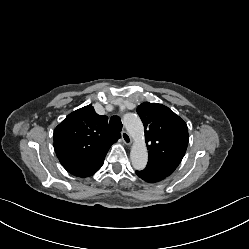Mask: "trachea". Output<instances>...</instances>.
<instances>
[{
  "label": "trachea",
  "mask_w": 249,
  "mask_h": 249,
  "mask_svg": "<svg viewBox=\"0 0 249 249\" xmlns=\"http://www.w3.org/2000/svg\"><path fill=\"white\" fill-rule=\"evenodd\" d=\"M109 124L116 131H121L122 130V122H121V119L118 116L111 117V119L109 121Z\"/></svg>",
  "instance_id": "3493384b"
}]
</instances>
